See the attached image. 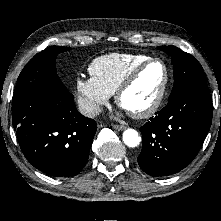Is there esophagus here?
<instances>
[{
	"mask_svg": "<svg viewBox=\"0 0 221 221\" xmlns=\"http://www.w3.org/2000/svg\"><path fill=\"white\" fill-rule=\"evenodd\" d=\"M113 128H114L115 130H118V131H122V130L125 129L124 126H122V125H117V124H114V125H113Z\"/></svg>",
	"mask_w": 221,
	"mask_h": 221,
	"instance_id": "34e87169",
	"label": "esophagus"
}]
</instances>
